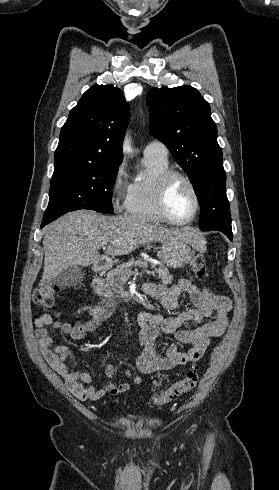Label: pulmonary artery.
<instances>
[{
	"label": "pulmonary artery",
	"instance_id": "1",
	"mask_svg": "<svg viewBox=\"0 0 279 490\" xmlns=\"http://www.w3.org/2000/svg\"><path fill=\"white\" fill-rule=\"evenodd\" d=\"M143 154L145 157H158L163 159L169 158V151L167 146L163 141L158 139L150 141L145 146Z\"/></svg>",
	"mask_w": 279,
	"mask_h": 490
}]
</instances>
